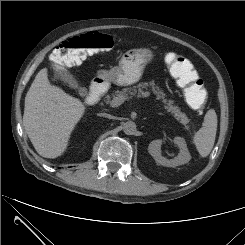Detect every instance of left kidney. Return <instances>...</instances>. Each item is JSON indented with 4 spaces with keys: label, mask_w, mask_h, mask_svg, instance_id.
Instances as JSON below:
<instances>
[{
    "label": "left kidney",
    "mask_w": 245,
    "mask_h": 245,
    "mask_svg": "<svg viewBox=\"0 0 245 245\" xmlns=\"http://www.w3.org/2000/svg\"><path fill=\"white\" fill-rule=\"evenodd\" d=\"M162 140L157 139L153 140L148 146V152L154 158L158 165L166 166V167H176L183 164H186L190 161L191 155L187 149V145L185 139L182 137H175L173 139L174 144H176L179 148L178 155L173 159H167L161 154V145Z\"/></svg>",
    "instance_id": "5707ae66"
}]
</instances>
